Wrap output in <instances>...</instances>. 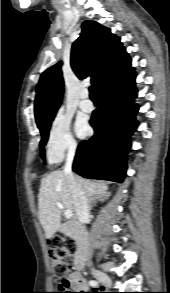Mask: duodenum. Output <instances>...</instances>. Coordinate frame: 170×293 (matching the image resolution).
Returning <instances> with one entry per match:
<instances>
[{"label":"duodenum","mask_w":170,"mask_h":293,"mask_svg":"<svg viewBox=\"0 0 170 293\" xmlns=\"http://www.w3.org/2000/svg\"><path fill=\"white\" fill-rule=\"evenodd\" d=\"M58 232L65 235H73L77 238L79 242V250L75 257V267L81 269L85 260L87 259V241H88V231L79 227L75 222H70L64 225H61L58 228Z\"/></svg>","instance_id":"duodenum-1"}]
</instances>
